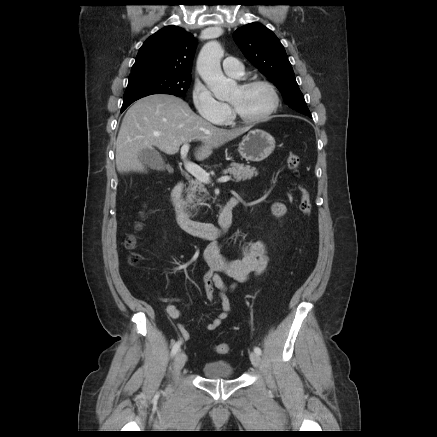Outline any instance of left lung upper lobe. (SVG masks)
Wrapping results in <instances>:
<instances>
[{
	"label": "left lung upper lobe",
	"instance_id": "1",
	"mask_svg": "<svg viewBox=\"0 0 437 437\" xmlns=\"http://www.w3.org/2000/svg\"><path fill=\"white\" fill-rule=\"evenodd\" d=\"M233 38L245 57L276 85L285 103L312 117L285 49L276 35L262 24L250 23L237 29Z\"/></svg>",
	"mask_w": 437,
	"mask_h": 437
}]
</instances>
